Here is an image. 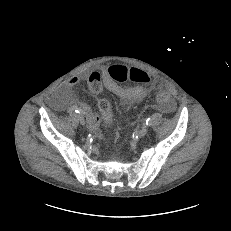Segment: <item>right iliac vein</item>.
Listing matches in <instances>:
<instances>
[{"mask_svg":"<svg viewBox=\"0 0 231 231\" xmlns=\"http://www.w3.org/2000/svg\"><path fill=\"white\" fill-rule=\"evenodd\" d=\"M78 120L82 125H86V121L83 115H78Z\"/></svg>","mask_w":231,"mask_h":231,"instance_id":"1","label":"right iliac vein"}]
</instances>
